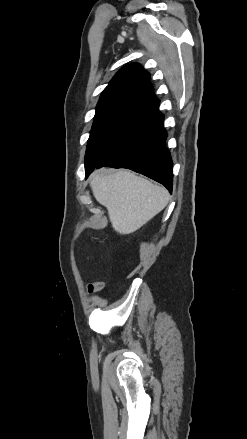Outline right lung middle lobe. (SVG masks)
<instances>
[{
	"mask_svg": "<svg viewBox=\"0 0 247 439\" xmlns=\"http://www.w3.org/2000/svg\"><path fill=\"white\" fill-rule=\"evenodd\" d=\"M154 116V113L133 109L122 104L97 107L88 139L85 166L97 164L108 153L143 128Z\"/></svg>",
	"mask_w": 247,
	"mask_h": 439,
	"instance_id": "dd1d6c3e",
	"label": "right lung middle lobe"
}]
</instances>
